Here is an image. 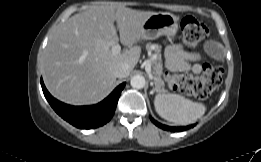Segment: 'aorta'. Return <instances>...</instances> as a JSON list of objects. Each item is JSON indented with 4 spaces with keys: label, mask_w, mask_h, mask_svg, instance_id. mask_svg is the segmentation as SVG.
Masks as SVG:
<instances>
[{
    "label": "aorta",
    "mask_w": 261,
    "mask_h": 162,
    "mask_svg": "<svg viewBox=\"0 0 261 162\" xmlns=\"http://www.w3.org/2000/svg\"><path fill=\"white\" fill-rule=\"evenodd\" d=\"M130 84L133 88L142 89L145 86V78L142 75H135L131 78Z\"/></svg>",
    "instance_id": "obj_1"
}]
</instances>
